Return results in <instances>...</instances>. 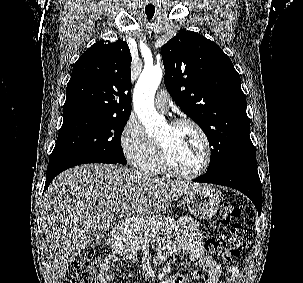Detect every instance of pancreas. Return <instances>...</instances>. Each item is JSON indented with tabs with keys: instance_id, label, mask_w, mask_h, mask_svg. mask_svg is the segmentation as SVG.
I'll return each mask as SVG.
<instances>
[{
	"instance_id": "obj_1",
	"label": "pancreas",
	"mask_w": 303,
	"mask_h": 283,
	"mask_svg": "<svg viewBox=\"0 0 303 283\" xmlns=\"http://www.w3.org/2000/svg\"><path fill=\"white\" fill-rule=\"evenodd\" d=\"M175 229V220L171 217L133 223L118 241L116 248L125 260L135 259L138 250L144 244L165 240Z\"/></svg>"
}]
</instances>
